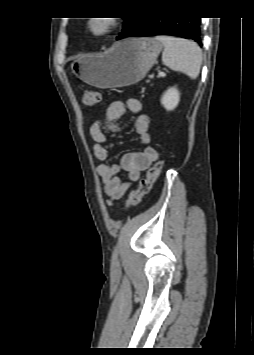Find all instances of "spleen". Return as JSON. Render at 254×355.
<instances>
[{"mask_svg": "<svg viewBox=\"0 0 254 355\" xmlns=\"http://www.w3.org/2000/svg\"><path fill=\"white\" fill-rule=\"evenodd\" d=\"M164 45L162 62L174 71L196 79L202 64V51L193 41L171 36H156Z\"/></svg>", "mask_w": 254, "mask_h": 355, "instance_id": "1", "label": "spleen"}]
</instances>
